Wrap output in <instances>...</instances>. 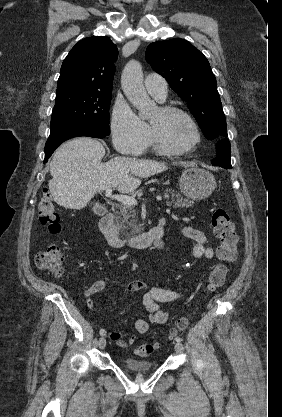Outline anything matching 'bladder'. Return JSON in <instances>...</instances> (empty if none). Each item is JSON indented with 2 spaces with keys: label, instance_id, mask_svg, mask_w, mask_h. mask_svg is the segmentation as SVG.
<instances>
[{
  "label": "bladder",
  "instance_id": "31cf9c89",
  "mask_svg": "<svg viewBox=\"0 0 282 417\" xmlns=\"http://www.w3.org/2000/svg\"><path fill=\"white\" fill-rule=\"evenodd\" d=\"M125 368L134 373H145L154 367V363L134 357H126L123 361Z\"/></svg>",
  "mask_w": 282,
  "mask_h": 417
}]
</instances>
